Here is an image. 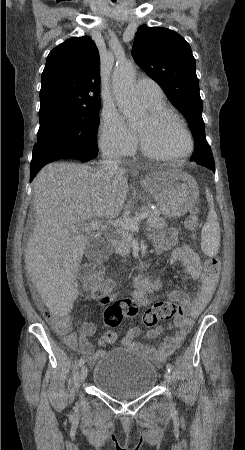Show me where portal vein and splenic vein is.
I'll return each mask as SVG.
<instances>
[{"mask_svg": "<svg viewBox=\"0 0 245 450\" xmlns=\"http://www.w3.org/2000/svg\"><path fill=\"white\" fill-rule=\"evenodd\" d=\"M148 213L147 212H142L140 213L137 217L134 218H120L117 220H112V221H108L106 223V225H113L114 227H119V228H124L127 230H138L139 229V222L141 220H144L145 218H147ZM105 225V226H106ZM100 227H104L103 225V220H94L91 221L87 224H85V226L83 227V229L88 230H97ZM80 228V226H76V225H72L70 226V230L73 232L78 231Z\"/></svg>", "mask_w": 245, "mask_h": 450, "instance_id": "obj_1", "label": "portal vein and splenic vein"}]
</instances>
